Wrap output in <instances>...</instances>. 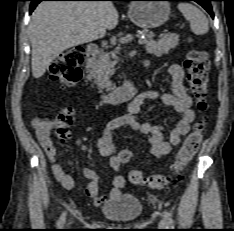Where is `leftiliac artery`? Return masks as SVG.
Listing matches in <instances>:
<instances>
[{
  "label": "left iliac artery",
  "instance_id": "1",
  "mask_svg": "<svg viewBox=\"0 0 234 231\" xmlns=\"http://www.w3.org/2000/svg\"><path fill=\"white\" fill-rule=\"evenodd\" d=\"M164 218H165V221H166L167 228L173 229L174 228V223H173V220H172V216L168 211L164 212Z\"/></svg>",
  "mask_w": 234,
  "mask_h": 231
}]
</instances>
